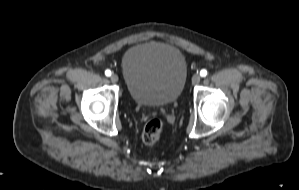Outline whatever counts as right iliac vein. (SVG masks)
Here are the masks:
<instances>
[{"label":"right iliac vein","mask_w":299,"mask_h":190,"mask_svg":"<svg viewBox=\"0 0 299 190\" xmlns=\"http://www.w3.org/2000/svg\"><path fill=\"white\" fill-rule=\"evenodd\" d=\"M112 83L118 82V76L116 74H112L110 77Z\"/></svg>","instance_id":"obj_1"}]
</instances>
